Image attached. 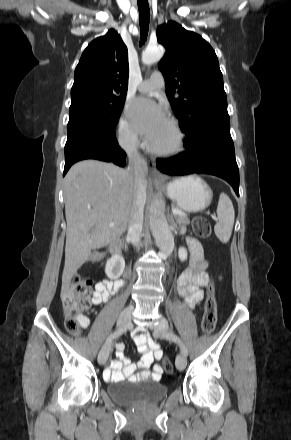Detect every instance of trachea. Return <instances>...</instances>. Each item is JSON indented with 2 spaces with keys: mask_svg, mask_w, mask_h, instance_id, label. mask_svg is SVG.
Listing matches in <instances>:
<instances>
[{
  "mask_svg": "<svg viewBox=\"0 0 291 440\" xmlns=\"http://www.w3.org/2000/svg\"><path fill=\"white\" fill-rule=\"evenodd\" d=\"M138 9H139V21H140V31H141L140 44H143L146 40L149 29L150 9L148 2L146 0H138Z\"/></svg>",
  "mask_w": 291,
  "mask_h": 440,
  "instance_id": "1",
  "label": "trachea"
}]
</instances>
